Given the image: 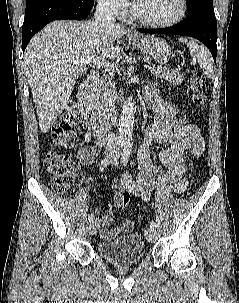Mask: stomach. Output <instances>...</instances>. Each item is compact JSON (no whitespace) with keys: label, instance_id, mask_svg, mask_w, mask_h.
Wrapping results in <instances>:
<instances>
[{"label":"stomach","instance_id":"1","mask_svg":"<svg viewBox=\"0 0 239 303\" xmlns=\"http://www.w3.org/2000/svg\"><path fill=\"white\" fill-rule=\"evenodd\" d=\"M131 43L143 53L150 55L156 62L166 63L172 53L169 44L160 38L141 36L131 39Z\"/></svg>","mask_w":239,"mask_h":303}]
</instances>
